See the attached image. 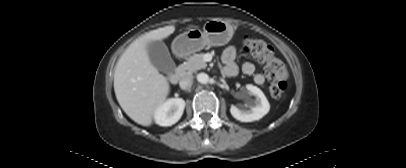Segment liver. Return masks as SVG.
Returning <instances> with one entry per match:
<instances>
[{
    "label": "liver",
    "instance_id": "liver-1",
    "mask_svg": "<svg viewBox=\"0 0 406 168\" xmlns=\"http://www.w3.org/2000/svg\"><path fill=\"white\" fill-rule=\"evenodd\" d=\"M174 26L152 30L136 39L118 60L114 72V91L124 112L136 123L150 126L156 109L166 100L167 78L151 63L147 45L167 38Z\"/></svg>",
    "mask_w": 406,
    "mask_h": 168
}]
</instances>
